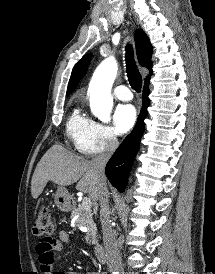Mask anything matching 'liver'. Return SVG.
Returning a JSON list of instances; mask_svg holds the SVG:
<instances>
[{"label":"liver","mask_w":215,"mask_h":274,"mask_svg":"<svg viewBox=\"0 0 215 274\" xmlns=\"http://www.w3.org/2000/svg\"><path fill=\"white\" fill-rule=\"evenodd\" d=\"M48 181L68 186L78 181L76 189L98 199L99 178L91 161L78 156L61 145H53L41 158L31 181V194L37 199Z\"/></svg>","instance_id":"6515ba94"}]
</instances>
